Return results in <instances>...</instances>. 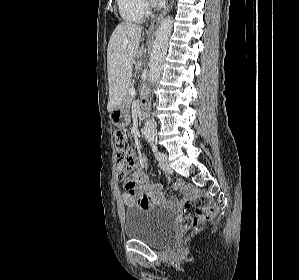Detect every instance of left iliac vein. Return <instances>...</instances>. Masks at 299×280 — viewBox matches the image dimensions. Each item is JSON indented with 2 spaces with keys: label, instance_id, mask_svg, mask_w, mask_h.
<instances>
[{
  "label": "left iliac vein",
  "instance_id": "left-iliac-vein-1",
  "mask_svg": "<svg viewBox=\"0 0 299 280\" xmlns=\"http://www.w3.org/2000/svg\"><path fill=\"white\" fill-rule=\"evenodd\" d=\"M159 165H160V168L164 172H166V173H172L173 172V170L170 167V164H169V162L167 160V156L165 154H164V158L160 161Z\"/></svg>",
  "mask_w": 299,
  "mask_h": 280
}]
</instances>
